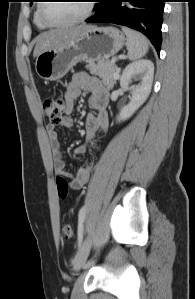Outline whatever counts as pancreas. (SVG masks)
Returning a JSON list of instances; mask_svg holds the SVG:
<instances>
[{"label": "pancreas", "mask_w": 195, "mask_h": 299, "mask_svg": "<svg viewBox=\"0 0 195 299\" xmlns=\"http://www.w3.org/2000/svg\"><path fill=\"white\" fill-rule=\"evenodd\" d=\"M86 68L92 75L99 76L108 89L113 88L117 80L114 77L117 67L113 60H100L97 61V63L90 62L88 65H86Z\"/></svg>", "instance_id": "pancreas-1"}]
</instances>
